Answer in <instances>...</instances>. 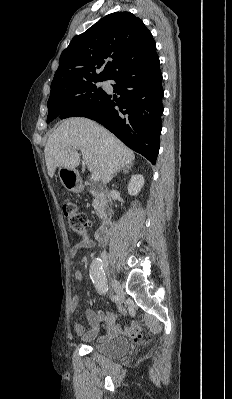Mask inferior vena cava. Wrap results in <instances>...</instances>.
<instances>
[{
  "label": "inferior vena cava",
  "instance_id": "obj_1",
  "mask_svg": "<svg viewBox=\"0 0 232 399\" xmlns=\"http://www.w3.org/2000/svg\"><path fill=\"white\" fill-rule=\"evenodd\" d=\"M101 255H102V258L104 259V262H107V259H106L107 255H108L107 247H102Z\"/></svg>",
  "mask_w": 232,
  "mask_h": 399
}]
</instances>
